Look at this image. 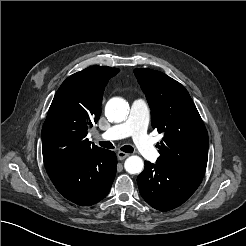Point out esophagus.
<instances>
[{"mask_svg":"<svg viewBox=\"0 0 246 246\" xmlns=\"http://www.w3.org/2000/svg\"><path fill=\"white\" fill-rule=\"evenodd\" d=\"M128 156H129L128 153H125V152H122V151H118V152H117V158H118L119 160H123V159H125V158L128 157Z\"/></svg>","mask_w":246,"mask_h":246,"instance_id":"esophagus-1","label":"esophagus"}]
</instances>
